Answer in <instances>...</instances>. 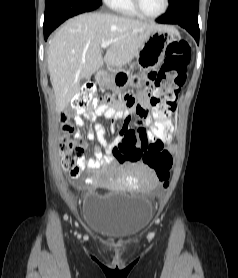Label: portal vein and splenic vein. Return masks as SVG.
<instances>
[{"label":"portal vein and splenic vein","instance_id":"18ae733b","mask_svg":"<svg viewBox=\"0 0 238 278\" xmlns=\"http://www.w3.org/2000/svg\"><path fill=\"white\" fill-rule=\"evenodd\" d=\"M112 43V41H105L101 43V48H108L110 46V44Z\"/></svg>","mask_w":238,"mask_h":278}]
</instances>
